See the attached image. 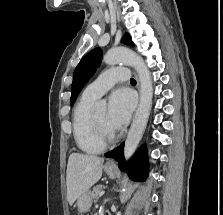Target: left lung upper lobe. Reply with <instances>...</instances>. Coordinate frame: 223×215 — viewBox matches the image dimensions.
I'll return each mask as SVG.
<instances>
[{
    "label": "left lung upper lobe",
    "mask_w": 223,
    "mask_h": 215,
    "mask_svg": "<svg viewBox=\"0 0 223 215\" xmlns=\"http://www.w3.org/2000/svg\"><path fill=\"white\" fill-rule=\"evenodd\" d=\"M125 44L133 46L131 38L128 34L123 37ZM102 59V51L100 48H95L85 55L77 65L71 87L70 104L73 105L82 90L83 86L88 82L89 78L95 73Z\"/></svg>",
    "instance_id": "1"
}]
</instances>
